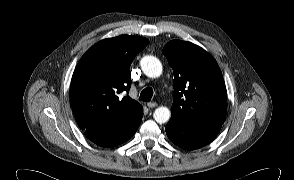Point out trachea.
I'll list each match as a JSON object with an SVG mask.
<instances>
[{"label": "trachea", "instance_id": "trachea-1", "mask_svg": "<svg viewBox=\"0 0 294 180\" xmlns=\"http://www.w3.org/2000/svg\"><path fill=\"white\" fill-rule=\"evenodd\" d=\"M153 97V89L151 87L145 88L140 94V100L150 102Z\"/></svg>", "mask_w": 294, "mask_h": 180}]
</instances>
